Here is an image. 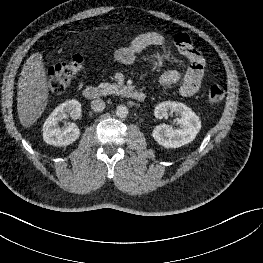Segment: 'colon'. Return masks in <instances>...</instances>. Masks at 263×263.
Instances as JSON below:
<instances>
[{
	"label": "colon",
	"instance_id": "colon-1",
	"mask_svg": "<svg viewBox=\"0 0 263 263\" xmlns=\"http://www.w3.org/2000/svg\"><path fill=\"white\" fill-rule=\"evenodd\" d=\"M83 64V58L79 54L70 59L51 66L48 70V88L53 93L63 92L75 78ZM208 100L212 104L221 102L225 96L223 88L212 85L208 89Z\"/></svg>",
	"mask_w": 263,
	"mask_h": 263
}]
</instances>
